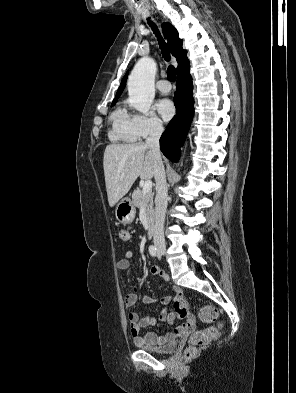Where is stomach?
<instances>
[{
	"instance_id": "1",
	"label": "stomach",
	"mask_w": 296,
	"mask_h": 393,
	"mask_svg": "<svg viewBox=\"0 0 296 393\" xmlns=\"http://www.w3.org/2000/svg\"><path fill=\"white\" fill-rule=\"evenodd\" d=\"M136 209L133 202L129 198H123L116 206V219L122 224H130L133 222Z\"/></svg>"
}]
</instances>
